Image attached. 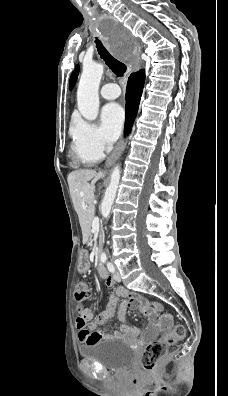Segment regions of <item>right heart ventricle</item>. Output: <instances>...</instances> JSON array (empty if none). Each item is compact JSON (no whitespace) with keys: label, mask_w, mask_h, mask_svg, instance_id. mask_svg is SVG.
Returning a JSON list of instances; mask_svg holds the SVG:
<instances>
[{"label":"right heart ventricle","mask_w":228,"mask_h":396,"mask_svg":"<svg viewBox=\"0 0 228 396\" xmlns=\"http://www.w3.org/2000/svg\"><path fill=\"white\" fill-rule=\"evenodd\" d=\"M75 147V146H74ZM76 151V150H75ZM81 161L85 164H93L94 162H96V160L91 159L89 157H84V156H79Z\"/></svg>","instance_id":"1"}]
</instances>
